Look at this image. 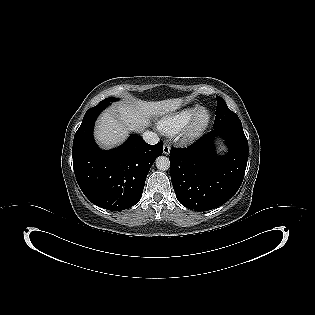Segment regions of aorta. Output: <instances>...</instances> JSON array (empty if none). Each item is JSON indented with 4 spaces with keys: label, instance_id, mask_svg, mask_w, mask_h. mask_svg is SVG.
<instances>
[{
    "label": "aorta",
    "instance_id": "762f6f07",
    "mask_svg": "<svg viewBox=\"0 0 315 315\" xmlns=\"http://www.w3.org/2000/svg\"><path fill=\"white\" fill-rule=\"evenodd\" d=\"M155 163H156L157 169L161 171H166L170 168V161H169V158H167L166 156H159L156 159Z\"/></svg>",
    "mask_w": 315,
    "mask_h": 315
}]
</instances>
